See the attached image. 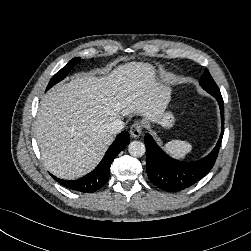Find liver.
Masks as SVG:
<instances>
[{"label": "liver", "mask_w": 251, "mask_h": 251, "mask_svg": "<svg viewBox=\"0 0 251 251\" xmlns=\"http://www.w3.org/2000/svg\"><path fill=\"white\" fill-rule=\"evenodd\" d=\"M144 62L118 66L105 76L77 74L42 98L35 135L46 168L63 179L84 176L101 161L114 140L108 125L133 113L158 122L170 89Z\"/></svg>", "instance_id": "6515ba94"}]
</instances>
